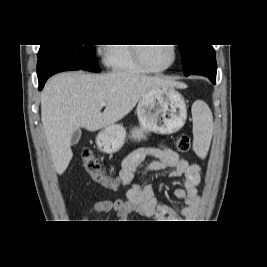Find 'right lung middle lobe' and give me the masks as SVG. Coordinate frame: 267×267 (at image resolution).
<instances>
[{
	"label": "right lung middle lobe",
	"instance_id": "right-lung-middle-lobe-1",
	"mask_svg": "<svg viewBox=\"0 0 267 267\" xmlns=\"http://www.w3.org/2000/svg\"><path fill=\"white\" fill-rule=\"evenodd\" d=\"M44 56H54L63 59L80 67L82 70L91 72L101 71L96 59L94 45H41L38 52V58Z\"/></svg>",
	"mask_w": 267,
	"mask_h": 267
}]
</instances>
